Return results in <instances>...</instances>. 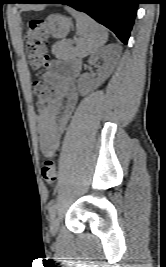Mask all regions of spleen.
<instances>
[{
    "label": "spleen",
    "mask_w": 166,
    "mask_h": 267,
    "mask_svg": "<svg viewBox=\"0 0 166 267\" xmlns=\"http://www.w3.org/2000/svg\"><path fill=\"white\" fill-rule=\"evenodd\" d=\"M67 11L76 19L77 34L79 36L77 45L74 48V54L83 58L95 53L103 46L108 33L105 29L85 13L67 8Z\"/></svg>",
    "instance_id": "spleen-1"
}]
</instances>
